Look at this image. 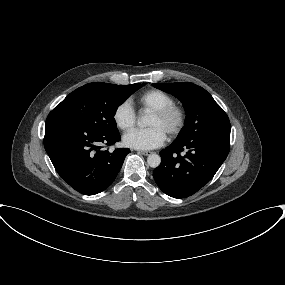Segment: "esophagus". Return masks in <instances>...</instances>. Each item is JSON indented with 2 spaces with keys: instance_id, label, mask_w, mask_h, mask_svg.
<instances>
[{
  "instance_id": "obj_1",
  "label": "esophagus",
  "mask_w": 285,
  "mask_h": 285,
  "mask_svg": "<svg viewBox=\"0 0 285 285\" xmlns=\"http://www.w3.org/2000/svg\"><path fill=\"white\" fill-rule=\"evenodd\" d=\"M138 153L139 154H142V155H144V156H148V155H150L152 152L151 151H138Z\"/></svg>"
}]
</instances>
